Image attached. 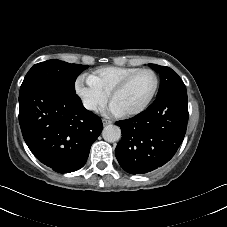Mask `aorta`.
I'll list each match as a JSON object with an SVG mask.
<instances>
[{
  "mask_svg": "<svg viewBox=\"0 0 227 227\" xmlns=\"http://www.w3.org/2000/svg\"><path fill=\"white\" fill-rule=\"evenodd\" d=\"M102 136L105 141L113 143L121 138V130L116 125H107L102 131Z\"/></svg>",
  "mask_w": 227,
  "mask_h": 227,
  "instance_id": "obj_1",
  "label": "aorta"
}]
</instances>
